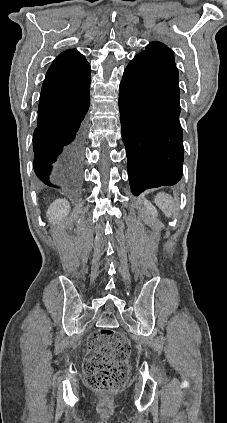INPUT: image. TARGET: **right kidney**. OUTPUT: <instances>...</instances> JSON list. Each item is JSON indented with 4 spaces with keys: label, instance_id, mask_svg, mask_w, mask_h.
<instances>
[{
    "label": "right kidney",
    "instance_id": "right-kidney-1",
    "mask_svg": "<svg viewBox=\"0 0 227 423\" xmlns=\"http://www.w3.org/2000/svg\"><path fill=\"white\" fill-rule=\"evenodd\" d=\"M69 211H70V204L68 200H65V198H63V200H55L53 204H50L46 215L48 217V221H51V223L55 225V223H58V221H61L63 217H66Z\"/></svg>",
    "mask_w": 227,
    "mask_h": 423
}]
</instances>
